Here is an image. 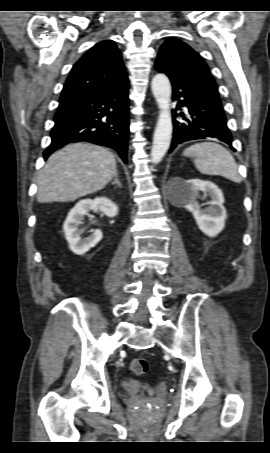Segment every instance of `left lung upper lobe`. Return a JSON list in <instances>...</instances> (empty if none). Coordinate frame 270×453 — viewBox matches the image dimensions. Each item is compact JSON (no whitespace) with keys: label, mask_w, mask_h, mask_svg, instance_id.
<instances>
[{"label":"left lung upper lobe","mask_w":270,"mask_h":453,"mask_svg":"<svg viewBox=\"0 0 270 453\" xmlns=\"http://www.w3.org/2000/svg\"><path fill=\"white\" fill-rule=\"evenodd\" d=\"M157 65L181 81L219 97L218 87L205 61L190 46L178 39H168L160 47Z\"/></svg>","instance_id":"1"}]
</instances>
